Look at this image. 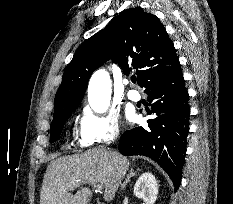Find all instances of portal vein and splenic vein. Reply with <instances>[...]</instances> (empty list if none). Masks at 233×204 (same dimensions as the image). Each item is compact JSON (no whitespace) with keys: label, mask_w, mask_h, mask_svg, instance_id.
Returning <instances> with one entry per match:
<instances>
[{"label":"portal vein and splenic vein","mask_w":233,"mask_h":204,"mask_svg":"<svg viewBox=\"0 0 233 204\" xmlns=\"http://www.w3.org/2000/svg\"><path fill=\"white\" fill-rule=\"evenodd\" d=\"M77 186V185H75ZM92 187L96 188L98 191H101L103 189V186L101 184H91Z\"/></svg>","instance_id":"1"}]
</instances>
